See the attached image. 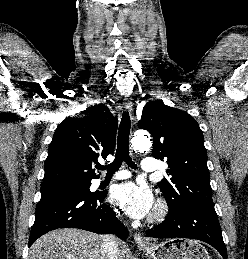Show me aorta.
Listing matches in <instances>:
<instances>
[{"label":"aorta","instance_id":"762f6f07","mask_svg":"<svg viewBox=\"0 0 248 259\" xmlns=\"http://www.w3.org/2000/svg\"><path fill=\"white\" fill-rule=\"evenodd\" d=\"M131 143L132 147L138 151H146L151 147V141L149 137L144 134H136Z\"/></svg>","mask_w":248,"mask_h":259}]
</instances>
